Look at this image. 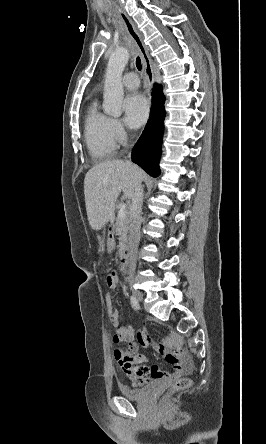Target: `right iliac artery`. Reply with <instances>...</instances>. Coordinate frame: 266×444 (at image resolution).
Listing matches in <instances>:
<instances>
[{"mask_svg": "<svg viewBox=\"0 0 266 444\" xmlns=\"http://www.w3.org/2000/svg\"><path fill=\"white\" fill-rule=\"evenodd\" d=\"M130 301H131L132 307H134L135 309L139 308L138 301L136 300V298L134 296H131Z\"/></svg>", "mask_w": 266, "mask_h": 444, "instance_id": "obj_1", "label": "right iliac artery"}]
</instances>
